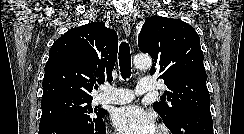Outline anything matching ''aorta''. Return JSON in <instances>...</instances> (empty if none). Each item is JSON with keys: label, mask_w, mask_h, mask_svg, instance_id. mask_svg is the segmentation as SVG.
<instances>
[{"label": "aorta", "mask_w": 244, "mask_h": 134, "mask_svg": "<svg viewBox=\"0 0 244 134\" xmlns=\"http://www.w3.org/2000/svg\"><path fill=\"white\" fill-rule=\"evenodd\" d=\"M133 62L138 69H148L152 65V59L148 55H136Z\"/></svg>", "instance_id": "aorta-1"}]
</instances>
